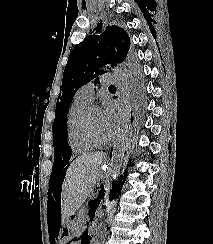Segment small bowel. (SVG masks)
<instances>
[{
  "instance_id": "c3829d8e",
  "label": "small bowel",
  "mask_w": 213,
  "mask_h": 244,
  "mask_svg": "<svg viewBox=\"0 0 213 244\" xmlns=\"http://www.w3.org/2000/svg\"><path fill=\"white\" fill-rule=\"evenodd\" d=\"M70 244H86L82 238L72 241Z\"/></svg>"
}]
</instances>
